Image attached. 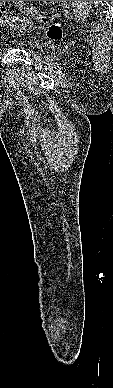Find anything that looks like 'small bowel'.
<instances>
[{
  "label": "small bowel",
  "mask_w": 113,
  "mask_h": 388,
  "mask_svg": "<svg viewBox=\"0 0 113 388\" xmlns=\"http://www.w3.org/2000/svg\"><path fill=\"white\" fill-rule=\"evenodd\" d=\"M15 6H17V7H22V4H21V1H11ZM0 3H1V1H0Z\"/></svg>",
  "instance_id": "1"
}]
</instances>
